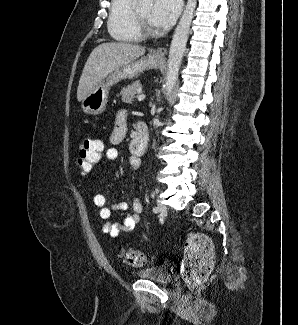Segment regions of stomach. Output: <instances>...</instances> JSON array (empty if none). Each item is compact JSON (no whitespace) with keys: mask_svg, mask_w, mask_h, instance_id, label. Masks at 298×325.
Masks as SVG:
<instances>
[{"mask_svg":"<svg viewBox=\"0 0 298 325\" xmlns=\"http://www.w3.org/2000/svg\"><path fill=\"white\" fill-rule=\"evenodd\" d=\"M163 62H165V58H157L152 52H149L146 56H139L133 62L115 68L104 80L99 82L97 88H93L89 94H86L85 98H82L80 106L83 112H86V114H101L106 108L111 86L118 84L120 80L134 78L144 70H155Z\"/></svg>","mask_w":298,"mask_h":325,"instance_id":"1","label":"stomach"}]
</instances>
